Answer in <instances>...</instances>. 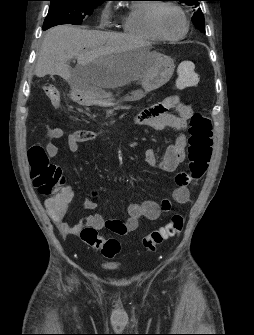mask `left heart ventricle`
I'll use <instances>...</instances> for the list:
<instances>
[{"label":"left heart ventricle","mask_w":254,"mask_h":335,"mask_svg":"<svg viewBox=\"0 0 254 335\" xmlns=\"http://www.w3.org/2000/svg\"><path fill=\"white\" fill-rule=\"evenodd\" d=\"M160 30L167 36H177L184 29V22L180 14L169 7H164L158 14Z\"/></svg>","instance_id":"left-heart-ventricle-1"}]
</instances>
